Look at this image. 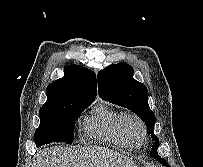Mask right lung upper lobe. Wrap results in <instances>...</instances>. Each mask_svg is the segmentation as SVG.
Wrapping results in <instances>:
<instances>
[{
	"instance_id": "obj_1",
	"label": "right lung upper lobe",
	"mask_w": 203,
	"mask_h": 167,
	"mask_svg": "<svg viewBox=\"0 0 203 167\" xmlns=\"http://www.w3.org/2000/svg\"><path fill=\"white\" fill-rule=\"evenodd\" d=\"M47 101L40 109L59 107L75 100H94L97 95L96 75L82 66L64 68V77L48 85Z\"/></svg>"
}]
</instances>
